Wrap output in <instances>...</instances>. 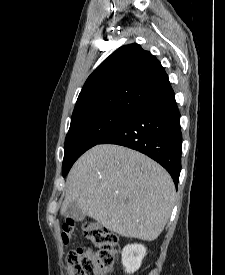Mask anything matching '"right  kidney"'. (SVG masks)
Wrapping results in <instances>:
<instances>
[{
	"mask_svg": "<svg viewBox=\"0 0 225 275\" xmlns=\"http://www.w3.org/2000/svg\"><path fill=\"white\" fill-rule=\"evenodd\" d=\"M146 255V248L141 244H128L122 250V264L127 273L137 271Z\"/></svg>",
	"mask_w": 225,
	"mask_h": 275,
	"instance_id": "ca27d5eb",
	"label": "right kidney"
}]
</instances>
